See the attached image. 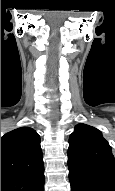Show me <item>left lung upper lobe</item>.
Here are the masks:
<instances>
[{
  "label": "left lung upper lobe",
  "mask_w": 115,
  "mask_h": 191,
  "mask_svg": "<svg viewBox=\"0 0 115 191\" xmlns=\"http://www.w3.org/2000/svg\"><path fill=\"white\" fill-rule=\"evenodd\" d=\"M68 165L115 179V159L100 130L78 124L69 138Z\"/></svg>",
  "instance_id": "1"
}]
</instances>
